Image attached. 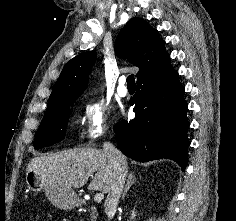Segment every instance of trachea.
<instances>
[{"instance_id":"obj_1","label":"trachea","mask_w":236,"mask_h":221,"mask_svg":"<svg viewBox=\"0 0 236 221\" xmlns=\"http://www.w3.org/2000/svg\"><path fill=\"white\" fill-rule=\"evenodd\" d=\"M127 86H135V77L133 74L127 77Z\"/></svg>"}]
</instances>
